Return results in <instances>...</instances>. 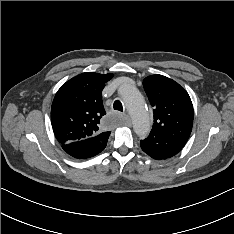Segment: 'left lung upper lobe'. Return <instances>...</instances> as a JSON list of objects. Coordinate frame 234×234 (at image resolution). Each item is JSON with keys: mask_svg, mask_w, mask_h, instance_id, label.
<instances>
[{"mask_svg": "<svg viewBox=\"0 0 234 234\" xmlns=\"http://www.w3.org/2000/svg\"><path fill=\"white\" fill-rule=\"evenodd\" d=\"M143 87L154 108V123L149 135L184 146L191 134L194 116L186 90L162 75L146 77Z\"/></svg>", "mask_w": 234, "mask_h": 234, "instance_id": "1", "label": "left lung upper lobe"}]
</instances>
